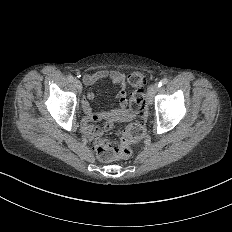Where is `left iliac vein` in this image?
Instances as JSON below:
<instances>
[{"instance_id": "1", "label": "left iliac vein", "mask_w": 232, "mask_h": 232, "mask_svg": "<svg viewBox=\"0 0 232 232\" xmlns=\"http://www.w3.org/2000/svg\"><path fill=\"white\" fill-rule=\"evenodd\" d=\"M159 88V85L158 86H153V88H150L149 89V95H148V97H147V100L149 101V102H152L154 99L152 98V95L154 94V93H157V89Z\"/></svg>"}]
</instances>
